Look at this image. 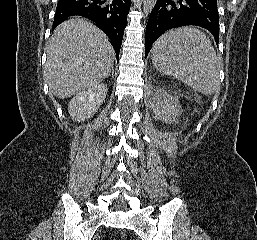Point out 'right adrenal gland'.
I'll use <instances>...</instances> for the list:
<instances>
[{"label":"right adrenal gland","mask_w":257,"mask_h":240,"mask_svg":"<svg viewBox=\"0 0 257 240\" xmlns=\"http://www.w3.org/2000/svg\"><path fill=\"white\" fill-rule=\"evenodd\" d=\"M111 73H112V76H113V74H114L113 69H112Z\"/></svg>","instance_id":"obj_1"}]
</instances>
